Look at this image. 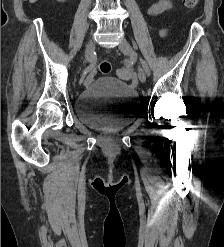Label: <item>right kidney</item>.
<instances>
[{"label": "right kidney", "instance_id": "obj_1", "mask_svg": "<svg viewBox=\"0 0 224 247\" xmlns=\"http://www.w3.org/2000/svg\"><path fill=\"white\" fill-rule=\"evenodd\" d=\"M58 2H65V0H58Z\"/></svg>", "mask_w": 224, "mask_h": 247}]
</instances>
